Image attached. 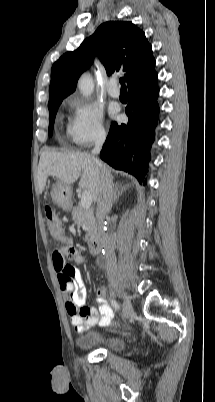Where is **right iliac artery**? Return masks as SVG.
<instances>
[{"label": "right iliac artery", "instance_id": "82829eb1", "mask_svg": "<svg viewBox=\"0 0 215 402\" xmlns=\"http://www.w3.org/2000/svg\"><path fill=\"white\" fill-rule=\"evenodd\" d=\"M111 305H112L116 310H120V305H119V303H118L116 300L112 299V300H111Z\"/></svg>", "mask_w": 215, "mask_h": 402}]
</instances>
